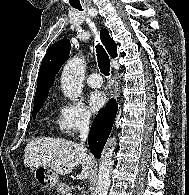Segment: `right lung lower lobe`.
Instances as JSON below:
<instances>
[{
	"instance_id": "98d812e1",
	"label": "right lung lower lobe",
	"mask_w": 189,
	"mask_h": 195,
	"mask_svg": "<svg viewBox=\"0 0 189 195\" xmlns=\"http://www.w3.org/2000/svg\"><path fill=\"white\" fill-rule=\"evenodd\" d=\"M118 104L114 99L110 100L97 114L88 136L90 151L96 158L101 157L103 147L111 132Z\"/></svg>"
}]
</instances>
